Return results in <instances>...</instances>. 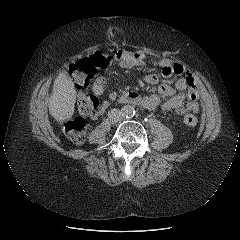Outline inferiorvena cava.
I'll use <instances>...</instances> for the list:
<instances>
[{"mask_svg":"<svg viewBox=\"0 0 240 240\" xmlns=\"http://www.w3.org/2000/svg\"><path fill=\"white\" fill-rule=\"evenodd\" d=\"M123 114L119 109H112L108 112V118L112 121V122H118L121 121L123 119Z\"/></svg>","mask_w":240,"mask_h":240,"instance_id":"obj_1","label":"inferior vena cava"}]
</instances>
